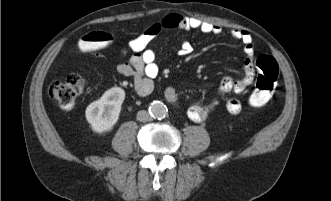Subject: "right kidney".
Here are the masks:
<instances>
[{
	"mask_svg": "<svg viewBox=\"0 0 331 201\" xmlns=\"http://www.w3.org/2000/svg\"><path fill=\"white\" fill-rule=\"evenodd\" d=\"M124 99L125 91L120 87H113L87 106L86 119L94 132L101 134L113 129Z\"/></svg>",
	"mask_w": 331,
	"mask_h": 201,
	"instance_id": "ca27d5eb",
	"label": "right kidney"
}]
</instances>
